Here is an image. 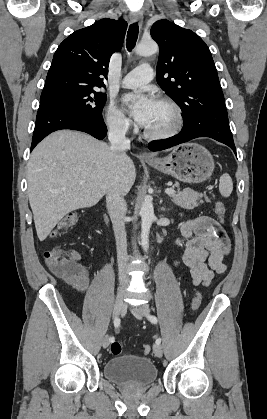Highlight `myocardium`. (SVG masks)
<instances>
[{"label":"myocardium","mask_w":267,"mask_h":419,"mask_svg":"<svg viewBox=\"0 0 267 419\" xmlns=\"http://www.w3.org/2000/svg\"><path fill=\"white\" fill-rule=\"evenodd\" d=\"M156 101L165 103L172 108L175 115V122L170 128L159 132L151 131L147 128H144V135L147 138L153 140H162L175 136L182 129L184 123L183 112L180 105L174 99L168 96H159L157 97Z\"/></svg>","instance_id":"f54148a6"}]
</instances>
